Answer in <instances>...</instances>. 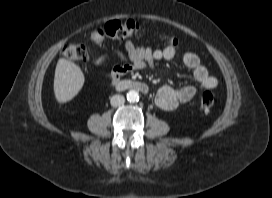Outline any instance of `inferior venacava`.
Masks as SVG:
<instances>
[{
	"label": "inferior vena cava",
	"instance_id": "obj_1",
	"mask_svg": "<svg viewBox=\"0 0 272 198\" xmlns=\"http://www.w3.org/2000/svg\"><path fill=\"white\" fill-rule=\"evenodd\" d=\"M110 103L113 107H118L125 103V98L122 95H114L111 97Z\"/></svg>",
	"mask_w": 272,
	"mask_h": 198
}]
</instances>
